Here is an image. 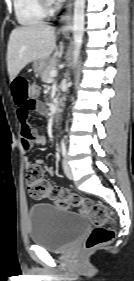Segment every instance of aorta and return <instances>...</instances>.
<instances>
[{"label": "aorta", "instance_id": "1", "mask_svg": "<svg viewBox=\"0 0 134 281\" xmlns=\"http://www.w3.org/2000/svg\"><path fill=\"white\" fill-rule=\"evenodd\" d=\"M85 0H75L73 16L74 64L77 63L83 40Z\"/></svg>", "mask_w": 134, "mask_h": 281}]
</instances>
